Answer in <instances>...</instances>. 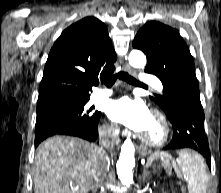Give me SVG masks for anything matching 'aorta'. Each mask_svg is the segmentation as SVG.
Masks as SVG:
<instances>
[{
	"mask_svg": "<svg viewBox=\"0 0 221 193\" xmlns=\"http://www.w3.org/2000/svg\"><path fill=\"white\" fill-rule=\"evenodd\" d=\"M129 64L134 68H144L146 56L140 50H132L128 57ZM135 166V147L131 140H126L121 147L119 160L117 161V175L121 183L130 186L133 182V167Z\"/></svg>",
	"mask_w": 221,
	"mask_h": 193,
	"instance_id": "obj_1",
	"label": "aorta"
}]
</instances>
